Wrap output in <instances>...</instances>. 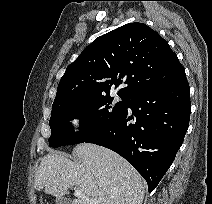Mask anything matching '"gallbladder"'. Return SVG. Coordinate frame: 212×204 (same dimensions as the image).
Returning a JSON list of instances; mask_svg holds the SVG:
<instances>
[{
	"mask_svg": "<svg viewBox=\"0 0 212 204\" xmlns=\"http://www.w3.org/2000/svg\"><path fill=\"white\" fill-rule=\"evenodd\" d=\"M55 204H72L71 200L66 197H58L55 200Z\"/></svg>",
	"mask_w": 212,
	"mask_h": 204,
	"instance_id": "1",
	"label": "gallbladder"
}]
</instances>
